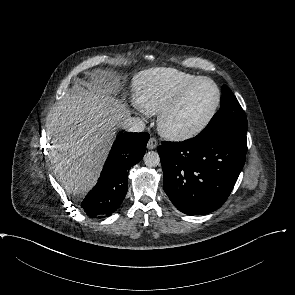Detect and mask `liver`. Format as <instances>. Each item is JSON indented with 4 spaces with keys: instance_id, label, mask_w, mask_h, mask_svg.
I'll return each instance as SVG.
<instances>
[{
    "instance_id": "liver-1",
    "label": "liver",
    "mask_w": 295,
    "mask_h": 295,
    "mask_svg": "<svg viewBox=\"0 0 295 295\" xmlns=\"http://www.w3.org/2000/svg\"><path fill=\"white\" fill-rule=\"evenodd\" d=\"M109 79L75 87L50 110L46 133L54 136L49 157L55 176L70 194H84L96 184L115 136L130 110L113 97Z\"/></svg>"
}]
</instances>
